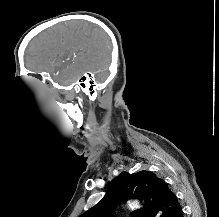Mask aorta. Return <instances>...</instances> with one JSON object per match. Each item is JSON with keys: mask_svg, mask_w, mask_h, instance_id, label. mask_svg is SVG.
<instances>
[{"mask_svg": "<svg viewBox=\"0 0 219 217\" xmlns=\"http://www.w3.org/2000/svg\"><path fill=\"white\" fill-rule=\"evenodd\" d=\"M128 206L132 209L139 208L140 205L137 201L129 202Z\"/></svg>", "mask_w": 219, "mask_h": 217, "instance_id": "1", "label": "aorta"}]
</instances>
